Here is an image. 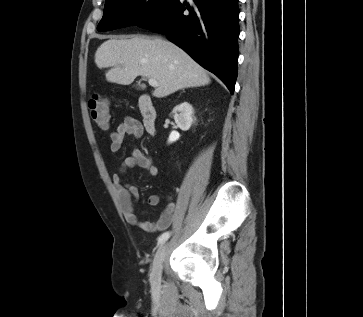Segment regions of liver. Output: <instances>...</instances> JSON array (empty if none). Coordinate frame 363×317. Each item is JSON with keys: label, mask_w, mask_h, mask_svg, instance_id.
I'll use <instances>...</instances> for the list:
<instances>
[{"label": "liver", "mask_w": 363, "mask_h": 317, "mask_svg": "<svg viewBox=\"0 0 363 317\" xmlns=\"http://www.w3.org/2000/svg\"><path fill=\"white\" fill-rule=\"evenodd\" d=\"M95 63L98 68L111 67L105 74L111 83L129 85L137 76L155 79L158 86L152 94L157 98L210 83L205 69L160 37L111 38L98 47Z\"/></svg>", "instance_id": "obj_1"}]
</instances>
